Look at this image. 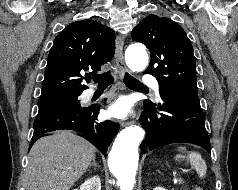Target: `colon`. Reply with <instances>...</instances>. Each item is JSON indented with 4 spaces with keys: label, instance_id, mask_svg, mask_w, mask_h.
<instances>
[{
    "label": "colon",
    "instance_id": "5ec220e1",
    "mask_svg": "<svg viewBox=\"0 0 238 190\" xmlns=\"http://www.w3.org/2000/svg\"><path fill=\"white\" fill-rule=\"evenodd\" d=\"M196 190H203V189H201V188H196Z\"/></svg>",
    "mask_w": 238,
    "mask_h": 190
}]
</instances>
